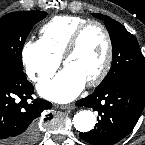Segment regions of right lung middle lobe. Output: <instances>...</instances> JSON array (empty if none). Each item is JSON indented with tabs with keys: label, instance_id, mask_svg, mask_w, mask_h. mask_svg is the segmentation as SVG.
<instances>
[{
	"label": "right lung middle lobe",
	"instance_id": "1",
	"mask_svg": "<svg viewBox=\"0 0 145 145\" xmlns=\"http://www.w3.org/2000/svg\"><path fill=\"white\" fill-rule=\"evenodd\" d=\"M47 16L43 11H20L0 18V69L23 70L22 48L34 24Z\"/></svg>",
	"mask_w": 145,
	"mask_h": 145
}]
</instances>
